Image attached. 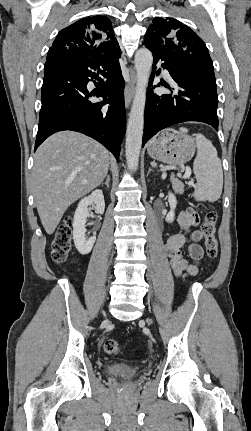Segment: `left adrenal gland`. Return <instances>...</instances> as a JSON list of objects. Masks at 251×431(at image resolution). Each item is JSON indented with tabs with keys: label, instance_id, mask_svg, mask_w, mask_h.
Returning a JSON list of instances; mask_svg holds the SVG:
<instances>
[{
	"label": "left adrenal gland",
	"instance_id": "obj_1",
	"mask_svg": "<svg viewBox=\"0 0 251 431\" xmlns=\"http://www.w3.org/2000/svg\"><path fill=\"white\" fill-rule=\"evenodd\" d=\"M151 171H153V169H152L151 167H149L148 174H149Z\"/></svg>",
	"mask_w": 251,
	"mask_h": 431
}]
</instances>
